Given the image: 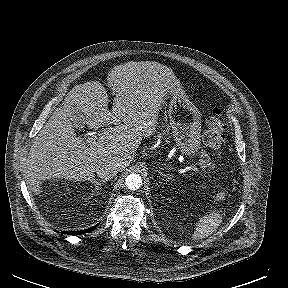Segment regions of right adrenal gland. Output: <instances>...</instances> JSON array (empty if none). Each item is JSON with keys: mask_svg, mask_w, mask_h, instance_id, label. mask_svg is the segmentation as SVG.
Returning <instances> with one entry per match:
<instances>
[{"mask_svg": "<svg viewBox=\"0 0 288 288\" xmlns=\"http://www.w3.org/2000/svg\"><path fill=\"white\" fill-rule=\"evenodd\" d=\"M91 182H92V184L95 186V192H96L97 194H99L98 190L101 189L102 184L105 183L106 180L93 179Z\"/></svg>", "mask_w": 288, "mask_h": 288, "instance_id": "obj_1", "label": "right adrenal gland"}]
</instances>
